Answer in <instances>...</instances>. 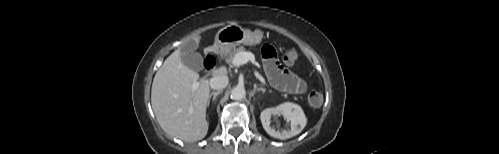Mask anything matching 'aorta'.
<instances>
[{"label": "aorta", "instance_id": "1", "mask_svg": "<svg viewBox=\"0 0 499 154\" xmlns=\"http://www.w3.org/2000/svg\"><path fill=\"white\" fill-rule=\"evenodd\" d=\"M246 96V91L244 87L236 86L231 91V98L233 100H241Z\"/></svg>", "mask_w": 499, "mask_h": 154}]
</instances>
